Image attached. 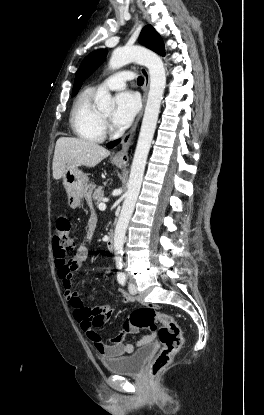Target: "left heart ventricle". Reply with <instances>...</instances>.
Listing matches in <instances>:
<instances>
[{
	"instance_id": "b2bd125f",
	"label": "left heart ventricle",
	"mask_w": 264,
	"mask_h": 415,
	"mask_svg": "<svg viewBox=\"0 0 264 415\" xmlns=\"http://www.w3.org/2000/svg\"><path fill=\"white\" fill-rule=\"evenodd\" d=\"M104 116H106L107 118H110L112 116V112L111 111H104L102 112Z\"/></svg>"
}]
</instances>
